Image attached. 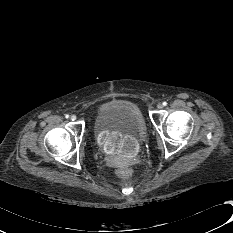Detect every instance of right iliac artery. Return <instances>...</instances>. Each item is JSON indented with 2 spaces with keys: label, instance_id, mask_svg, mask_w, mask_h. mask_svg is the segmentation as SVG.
I'll list each match as a JSON object with an SVG mask.
<instances>
[{
  "label": "right iliac artery",
  "instance_id": "right-iliac-artery-1",
  "mask_svg": "<svg viewBox=\"0 0 233 233\" xmlns=\"http://www.w3.org/2000/svg\"><path fill=\"white\" fill-rule=\"evenodd\" d=\"M65 118H69V115H68V114H66V115H65Z\"/></svg>",
  "mask_w": 233,
  "mask_h": 233
}]
</instances>
